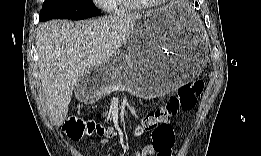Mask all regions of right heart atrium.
<instances>
[{
	"instance_id": "right-heart-atrium-1",
	"label": "right heart atrium",
	"mask_w": 261,
	"mask_h": 156,
	"mask_svg": "<svg viewBox=\"0 0 261 156\" xmlns=\"http://www.w3.org/2000/svg\"><path fill=\"white\" fill-rule=\"evenodd\" d=\"M97 4L105 10H113L112 0H99Z\"/></svg>"
}]
</instances>
